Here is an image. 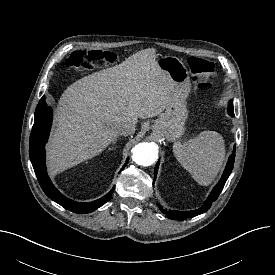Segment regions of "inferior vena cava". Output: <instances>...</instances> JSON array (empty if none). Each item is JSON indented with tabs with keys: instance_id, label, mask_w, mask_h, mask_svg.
Segmentation results:
<instances>
[{
	"instance_id": "1",
	"label": "inferior vena cava",
	"mask_w": 275,
	"mask_h": 275,
	"mask_svg": "<svg viewBox=\"0 0 275 275\" xmlns=\"http://www.w3.org/2000/svg\"><path fill=\"white\" fill-rule=\"evenodd\" d=\"M136 126L134 123L123 121L117 124L116 126V132L118 135H131L135 132Z\"/></svg>"
}]
</instances>
